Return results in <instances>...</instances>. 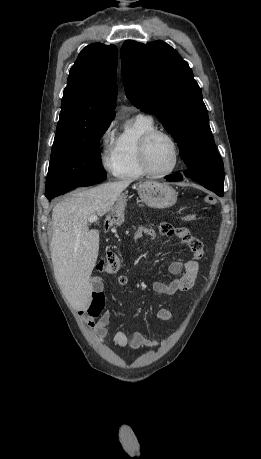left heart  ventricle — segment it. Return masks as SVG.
<instances>
[{
    "instance_id": "left-heart-ventricle-1",
    "label": "left heart ventricle",
    "mask_w": 261,
    "mask_h": 459,
    "mask_svg": "<svg viewBox=\"0 0 261 459\" xmlns=\"http://www.w3.org/2000/svg\"><path fill=\"white\" fill-rule=\"evenodd\" d=\"M149 163L153 171L162 173L171 169L174 164V149L164 136L154 138L149 147Z\"/></svg>"
}]
</instances>
